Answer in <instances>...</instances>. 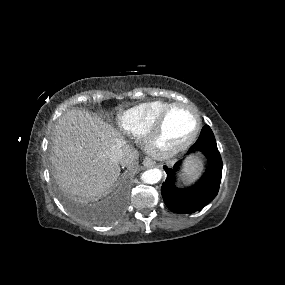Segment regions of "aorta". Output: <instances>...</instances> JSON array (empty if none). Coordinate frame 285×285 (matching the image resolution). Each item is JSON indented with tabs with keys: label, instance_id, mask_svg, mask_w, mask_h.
<instances>
[{
	"label": "aorta",
	"instance_id": "1",
	"mask_svg": "<svg viewBox=\"0 0 285 285\" xmlns=\"http://www.w3.org/2000/svg\"><path fill=\"white\" fill-rule=\"evenodd\" d=\"M162 178V171L160 169L154 168L149 169L142 173L141 179L147 184H155L159 182Z\"/></svg>",
	"mask_w": 285,
	"mask_h": 285
}]
</instances>
